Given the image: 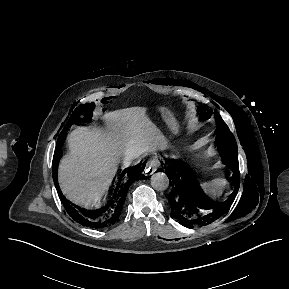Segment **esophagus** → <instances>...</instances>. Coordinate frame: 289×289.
Wrapping results in <instances>:
<instances>
[{
    "mask_svg": "<svg viewBox=\"0 0 289 289\" xmlns=\"http://www.w3.org/2000/svg\"><path fill=\"white\" fill-rule=\"evenodd\" d=\"M160 167V161L157 158H151L146 163V173L151 175Z\"/></svg>",
    "mask_w": 289,
    "mask_h": 289,
    "instance_id": "1",
    "label": "esophagus"
}]
</instances>
